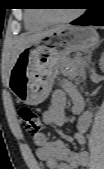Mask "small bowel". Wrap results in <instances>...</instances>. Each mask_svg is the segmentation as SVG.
Here are the masks:
<instances>
[{
    "mask_svg": "<svg viewBox=\"0 0 104 169\" xmlns=\"http://www.w3.org/2000/svg\"><path fill=\"white\" fill-rule=\"evenodd\" d=\"M68 96L73 103V112L79 115L74 140L82 145L86 142V131L92 122V113L84 110L83 97L74 85L66 84L63 89H56L52 93L49 106L43 113V122L52 126L65 124ZM33 142L37 147V157L44 162L46 169H75L88 162L87 152H74L61 140L49 141L45 134L35 136Z\"/></svg>",
    "mask_w": 104,
    "mask_h": 169,
    "instance_id": "small-bowel-1",
    "label": "small bowel"
}]
</instances>
